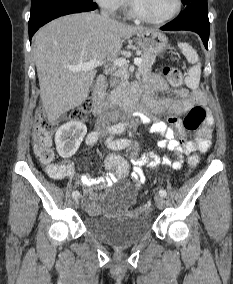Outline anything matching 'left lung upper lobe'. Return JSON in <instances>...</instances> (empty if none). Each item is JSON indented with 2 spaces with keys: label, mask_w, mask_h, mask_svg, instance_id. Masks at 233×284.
Returning <instances> with one entry per match:
<instances>
[{
  "label": "left lung upper lobe",
  "mask_w": 233,
  "mask_h": 284,
  "mask_svg": "<svg viewBox=\"0 0 233 284\" xmlns=\"http://www.w3.org/2000/svg\"><path fill=\"white\" fill-rule=\"evenodd\" d=\"M182 1H183L184 5H188V4H190V3L194 2V1H197V0H182Z\"/></svg>",
  "instance_id": "5c2ea615"
}]
</instances>
